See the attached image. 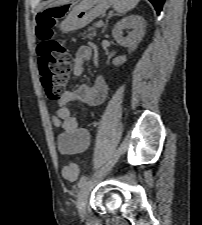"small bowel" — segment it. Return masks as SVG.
<instances>
[{
    "mask_svg": "<svg viewBox=\"0 0 202 225\" xmlns=\"http://www.w3.org/2000/svg\"><path fill=\"white\" fill-rule=\"evenodd\" d=\"M91 57L92 50L89 46L83 45L77 49L73 60V74L75 76L82 75L85 61ZM107 94V83L101 76H97L92 86L81 84L61 95L52 114L54 125L61 129V134L58 137V146L61 153L65 155L82 153L89 145L88 131L79 125L69 105L80 102L97 106L106 99Z\"/></svg>",
    "mask_w": 202,
    "mask_h": 225,
    "instance_id": "c3829d8e",
    "label": "small bowel"
}]
</instances>
